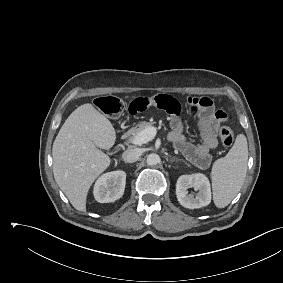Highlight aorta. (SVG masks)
<instances>
[{
	"mask_svg": "<svg viewBox=\"0 0 283 283\" xmlns=\"http://www.w3.org/2000/svg\"><path fill=\"white\" fill-rule=\"evenodd\" d=\"M146 161L148 165H157L160 163L161 159L158 154L152 153L147 156Z\"/></svg>",
	"mask_w": 283,
	"mask_h": 283,
	"instance_id": "obj_1",
	"label": "aorta"
}]
</instances>
